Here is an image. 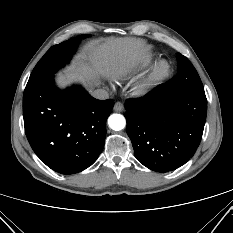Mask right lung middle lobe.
<instances>
[{
    "label": "right lung middle lobe",
    "mask_w": 233,
    "mask_h": 233,
    "mask_svg": "<svg viewBox=\"0 0 233 233\" xmlns=\"http://www.w3.org/2000/svg\"><path fill=\"white\" fill-rule=\"evenodd\" d=\"M84 37H87V35H80L51 47L35 66L25 90L52 76L59 67L67 63L75 52L78 42Z\"/></svg>",
    "instance_id": "dd1d6c3e"
}]
</instances>
